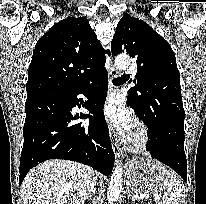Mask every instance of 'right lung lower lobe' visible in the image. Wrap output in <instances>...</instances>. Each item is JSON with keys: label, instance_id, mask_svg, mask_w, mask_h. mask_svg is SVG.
<instances>
[{"label": "right lung lower lobe", "instance_id": "right-lung-lower-lobe-1", "mask_svg": "<svg viewBox=\"0 0 206 204\" xmlns=\"http://www.w3.org/2000/svg\"><path fill=\"white\" fill-rule=\"evenodd\" d=\"M107 90L108 74L104 68L75 89L27 96L19 184L30 169L49 159L80 162L110 175L115 157L103 114ZM79 94L88 98L84 107L94 114L88 124L73 122L90 117L71 112L83 102L77 98Z\"/></svg>", "mask_w": 206, "mask_h": 204}]
</instances>
